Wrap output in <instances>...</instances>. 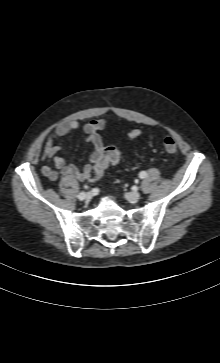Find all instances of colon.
I'll list each match as a JSON object with an SVG mask.
<instances>
[{
    "label": "colon",
    "mask_w": 220,
    "mask_h": 363,
    "mask_svg": "<svg viewBox=\"0 0 220 363\" xmlns=\"http://www.w3.org/2000/svg\"><path fill=\"white\" fill-rule=\"evenodd\" d=\"M141 134L140 130H133L132 132H130L129 134V138L130 139H136L139 135ZM163 145L165 150L168 153H174L177 151V143L176 141L171 138V137H166L163 141ZM120 160V152L119 150L114 147V146H110L104 149L103 151V162L106 166H114L116 165ZM104 169L103 168H98L95 172H94V176L96 178H99L102 176Z\"/></svg>",
    "instance_id": "5ec220e1"
}]
</instances>
